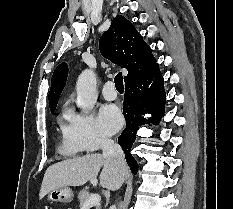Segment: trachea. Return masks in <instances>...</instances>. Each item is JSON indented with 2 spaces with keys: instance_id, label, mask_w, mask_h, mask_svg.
Instances as JSON below:
<instances>
[{
  "instance_id": "obj_1",
  "label": "trachea",
  "mask_w": 233,
  "mask_h": 209,
  "mask_svg": "<svg viewBox=\"0 0 233 209\" xmlns=\"http://www.w3.org/2000/svg\"><path fill=\"white\" fill-rule=\"evenodd\" d=\"M115 87L117 90H124L122 73L119 72L114 78Z\"/></svg>"
}]
</instances>
